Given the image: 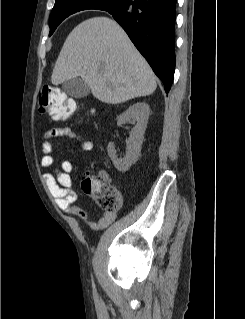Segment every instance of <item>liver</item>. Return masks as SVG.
Instances as JSON below:
<instances>
[{
    "label": "liver",
    "mask_w": 245,
    "mask_h": 319,
    "mask_svg": "<svg viewBox=\"0 0 245 319\" xmlns=\"http://www.w3.org/2000/svg\"><path fill=\"white\" fill-rule=\"evenodd\" d=\"M81 77L94 97L118 104L152 94L156 77L122 27L96 16L68 35L53 68L51 82L59 85Z\"/></svg>",
    "instance_id": "obj_1"
}]
</instances>
